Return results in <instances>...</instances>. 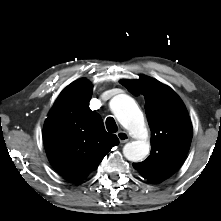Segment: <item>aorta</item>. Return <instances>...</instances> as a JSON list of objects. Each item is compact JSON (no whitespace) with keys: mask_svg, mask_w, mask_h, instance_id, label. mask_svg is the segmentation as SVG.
Here are the masks:
<instances>
[{"mask_svg":"<svg viewBox=\"0 0 221 221\" xmlns=\"http://www.w3.org/2000/svg\"><path fill=\"white\" fill-rule=\"evenodd\" d=\"M110 107L119 123L137 139L125 144L124 156L133 162L143 160L149 154L150 144L142 111L135 100L126 94L113 97Z\"/></svg>","mask_w":221,"mask_h":221,"instance_id":"762f6f07","label":"aorta"}]
</instances>
